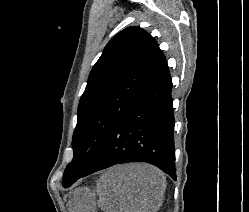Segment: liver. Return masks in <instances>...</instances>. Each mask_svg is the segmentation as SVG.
Here are the masks:
<instances>
[{
  "label": "liver",
  "mask_w": 249,
  "mask_h": 212,
  "mask_svg": "<svg viewBox=\"0 0 249 212\" xmlns=\"http://www.w3.org/2000/svg\"><path fill=\"white\" fill-rule=\"evenodd\" d=\"M165 176L150 164L112 166L97 184L103 212H158L165 192Z\"/></svg>",
  "instance_id": "1"
}]
</instances>
